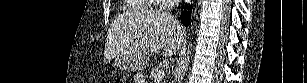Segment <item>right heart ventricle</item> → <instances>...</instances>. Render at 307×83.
Here are the masks:
<instances>
[{
	"label": "right heart ventricle",
	"mask_w": 307,
	"mask_h": 83,
	"mask_svg": "<svg viewBox=\"0 0 307 83\" xmlns=\"http://www.w3.org/2000/svg\"><path fill=\"white\" fill-rule=\"evenodd\" d=\"M151 7H152V1L130 0V9L132 10L149 9Z\"/></svg>",
	"instance_id": "right-heart-ventricle-1"
}]
</instances>
